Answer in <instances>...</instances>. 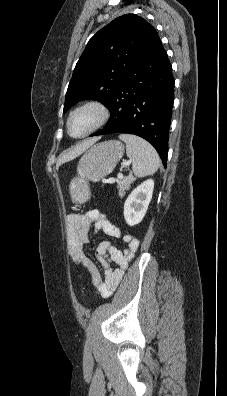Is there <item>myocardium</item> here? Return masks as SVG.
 Masks as SVG:
<instances>
[{"mask_svg": "<svg viewBox=\"0 0 227 396\" xmlns=\"http://www.w3.org/2000/svg\"><path fill=\"white\" fill-rule=\"evenodd\" d=\"M84 111L94 112L96 115L95 121L86 132H84L83 134H81L79 136H74L70 132V121L74 115H76L77 113H80V112H84ZM110 115H111L110 109L101 100H98V99L85 100V101L79 103L78 105H76L74 108H72L70 110V112L68 113V116L66 118L67 133L70 137L75 138V139L85 138V137L89 136L90 134L94 133L95 131H97L98 129H100L101 127H103L110 119Z\"/></svg>", "mask_w": 227, "mask_h": 396, "instance_id": "myocardium-1", "label": "myocardium"}]
</instances>
